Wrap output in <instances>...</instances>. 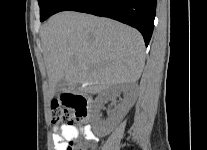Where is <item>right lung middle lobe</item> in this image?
Wrapping results in <instances>:
<instances>
[{
    "mask_svg": "<svg viewBox=\"0 0 207 150\" xmlns=\"http://www.w3.org/2000/svg\"><path fill=\"white\" fill-rule=\"evenodd\" d=\"M64 0H38L40 6V20L44 21L55 13L57 7Z\"/></svg>",
    "mask_w": 207,
    "mask_h": 150,
    "instance_id": "1",
    "label": "right lung middle lobe"
}]
</instances>
